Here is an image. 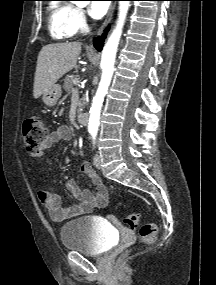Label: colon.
I'll return each mask as SVG.
<instances>
[{"mask_svg":"<svg viewBox=\"0 0 216 285\" xmlns=\"http://www.w3.org/2000/svg\"><path fill=\"white\" fill-rule=\"evenodd\" d=\"M22 135L27 152L32 156H40L48 138V127L39 118H28L23 123ZM125 223L130 228H136L139 223V215L129 214ZM157 225L154 223L143 224L139 229L140 239L145 244L154 242L157 236Z\"/></svg>","mask_w":216,"mask_h":285,"instance_id":"obj_1","label":"colon"}]
</instances>
